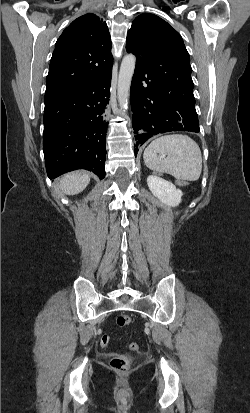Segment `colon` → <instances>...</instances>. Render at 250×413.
<instances>
[{"instance_id": "1", "label": "colon", "mask_w": 250, "mask_h": 413, "mask_svg": "<svg viewBox=\"0 0 250 413\" xmlns=\"http://www.w3.org/2000/svg\"><path fill=\"white\" fill-rule=\"evenodd\" d=\"M151 175L153 177H164V174L160 168H153L151 170ZM173 184L177 187H187L189 185V180L187 178H177L173 181ZM131 322L132 318L129 315H119L116 319L118 326H126L131 324ZM109 342L110 339L107 335L103 336L99 340L102 349H107ZM128 347L132 351H139L140 349L139 345L135 342L129 343ZM109 365L113 371L119 374H126L130 366V355L115 356L110 360Z\"/></svg>"}]
</instances>
